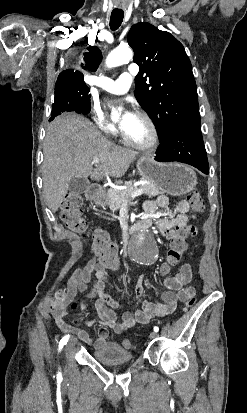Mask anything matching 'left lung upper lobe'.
<instances>
[{
	"mask_svg": "<svg viewBox=\"0 0 247 413\" xmlns=\"http://www.w3.org/2000/svg\"><path fill=\"white\" fill-rule=\"evenodd\" d=\"M127 39L140 67L135 97L159 139L179 127L201 129L197 86L183 45L149 23L133 25Z\"/></svg>",
	"mask_w": 247,
	"mask_h": 413,
	"instance_id": "obj_1",
	"label": "left lung upper lobe"
}]
</instances>
